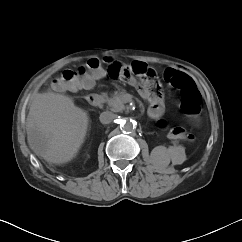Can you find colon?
<instances>
[{"label":"colon","instance_id":"colon-1","mask_svg":"<svg viewBox=\"0 0 242 242\" xmlns=\"http://www.w3.org/2000/svg\"><path fill=\"white\" fill-rule=\"evenodd\" d=\"M105 73L112 80L121 77H135L141 80L142 86L149 94L160 95L162 92L161 85L153 69L149 68L145 63L133 62L121 69L120 63L110 58L103 60L91 59L85 66L77 69L64 70L52 83L51 88L58 92H74L85 88L91 84V78L97 77ZM165 81L180 91L182 109L190 114L196 115L202 105V97L192 79L184 72L168 69L165 72ZM165 128L164 122H161ZM169 134L177 139L190 140L182 127H171Z\"/></svg>","mask_w":242,"mask_h":242}]
</instances>
